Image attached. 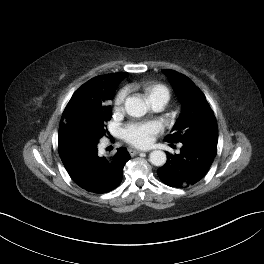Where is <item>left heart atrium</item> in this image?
Masks as SVG:
<instances>
[{
  "instance_id": "obj_1",
  "label": "left heart atrium",
  "mask_w": 264,
  "mask_h": 264,
  "mask_svg": "<svg viewBox=\"0 0 264 264\" xmlns=\"http://www.w3.org/2000/svg\"><path fill=\"white\" fill-rule=\"evenodd\" d=\"M159 127L155 122L129 123L122 130L123 138L137 147H148L152 144Z\"/></svg>"
}]
</instances>
